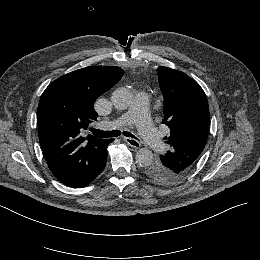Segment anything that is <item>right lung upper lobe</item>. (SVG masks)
I'll use <instances>...</instances> for the list:
<instances>
[{
    "label": "right lung upper lobe",
    "mask_w": 260,
    "mask_h": 260,
    "mask_svg": "<svg viewBox=\"0 0 260 260\" xmlns=\"http://www.w3.org/2000/svg\"><path fill=\"white\" fill-rule=\"evenodd\" d=\"M120 67L90 66L52 82L38 106L39 141L49 169L59 181L88 173L106 159L112 139L83 136L97 119L95 100L122 77Z\"/></svg>",
    "instance_id": "cb5924a9"
}]
</instances>
